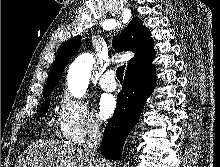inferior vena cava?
Wrapping results in <instances>:
<instances>
[{
    "instance_id": "inferior-vena-cava-1",
    "label": "inferior vena cava",
    "mask_w": 220,
    "mask_h": 167,
    "mask_svg": "<svg viewBox=\"0 0 220 167\" xmlns=\"http://www.w3.org/2000/svg\"><path fill=\"white\" fill-rule=\"evenodd\" d=\"M100 141L101 134L99 131V124L95 121H91L88 125V138L84 144V150L94 157Z\"/></svg>"
}]
</instances>
